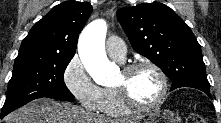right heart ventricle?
Here are the masks:
<instances>
[{"instance_id":"e07e8e85","label":"right heart ventricle","mask_w":221,"mask_h":123,"mask_svg":"<svg viewBox=\"0 0 221 123\" xmlns=\"http://www.w3.org/2000/svg\"><path fill=\"white\" fill-rule=\"evenodd\" d=\"M102 90L103 97L99 110L102 114L112 118L124 117L130 114L131 111L123 105L114 88L109 87Z\"/></svg>"}]
</instances>
